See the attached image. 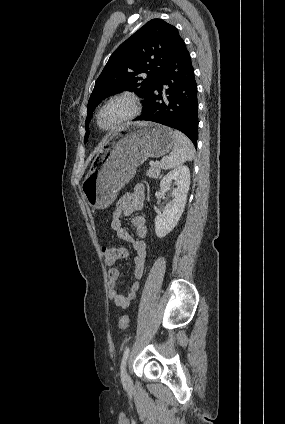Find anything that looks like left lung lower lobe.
<instances>
[{"label": "left lung lower lobe", "instance_id": "obj_1", "mask_svg": "<svg viewBox=\"0 0 285 424\" xmlns=\"http://www.w3.org/2000/svg\"><path fill=\"white\" fill-rule=\"evenodd\" d=\"M168 88L163 95V85ZM135 120L160 123L188 136L195 147L198 138L197 84L191 57L181 38L162 74Z\"/></svg>", "mask_w": 285, "mask_h": 424}]
</instances>
